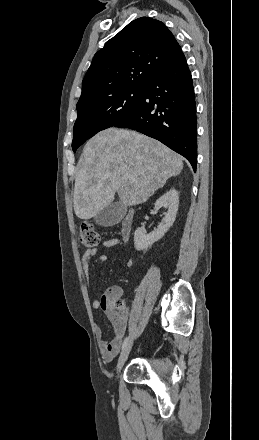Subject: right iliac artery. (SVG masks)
<instances>
[{"mask_svg":"<svg viewBox=\"0 0 259 440\" xmlns=\"http://www.w3.org/2000/svg\"><path fill=\"white\" fill-rule=\"evenodd\" d=\"M128 342H129V337H126V338L124 339V342H123V345H122V350L125 349V347L127 346Z\"/></svg>","mask_w":259,"mask_h":440,"instance_id":"obj_1","label":"right iliac artery"}]
</instances>
